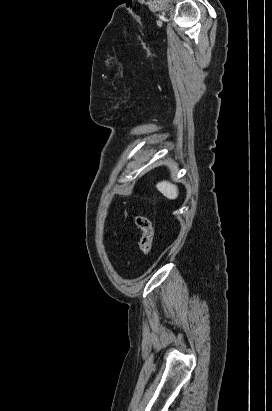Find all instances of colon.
Returning a JSON list of instances; mask_svg holds the SVG:
<instances>
[{
	"mask_svg": "<svg viewBox=\"0 0 272 411\" xmlns=\"http://www.w3.org/2000/svg\"><path fill=\"white\" fill-rule=\"evenodd\" d=\"M135 221L140 231L139 248L143 254L149 255L152 250L153 242V227L151 220L145 215H137Z\"/></svg>",
	"mask_w": 272,
	"mask_h": 411,
	"instance_id": "5ec220e1",
	"label": "colon"
}]
</instances>
